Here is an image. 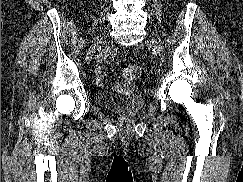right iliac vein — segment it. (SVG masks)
<instances>
[{
  "label": "right iliac vein",
  "instance_id": "right-iliac-vein-1",
  "mask_svg": "<svg viewBox=\"0 0 243 182\" xmlns=\"http://www.w3.org/2000/svg\"><path fill=\"white\" fill-rule=\"evenodd\" d=\"M101 40H102V38H100V37H98L94 40V42L92 43V45L90 46V48L86 54V59H89L92 57V55L95 53L96 49L98 48Z\"/></svg>",
  "mask_w": 243,
  "mask_h": 182
}]
</instances>
